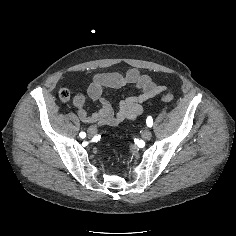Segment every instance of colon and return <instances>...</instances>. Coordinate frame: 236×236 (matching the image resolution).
<instances>
[{
    "label": "colon",
    "mask_w": 236,
    "mask_h": 236,
    "mask_svg": "<svg viewBox=\"0 0 236 236\" xmlns=\"http://www.w3.org/2000/svg\"><path fill=\"white\" fill-rule=\"evenodd\" d=\"M60 98H61V100H63V101H67V100L69 99V93H68V91L62 90V91L60 92ZM160 99H161V101L168 103V102H171V101L174 100V95L171 94V93H165V94H162V95H161Z\"/></svg>",
    "instance_id": "1"
}]
</instances>
